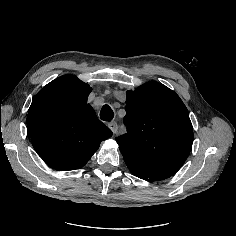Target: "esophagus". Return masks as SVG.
I'll use <instances>...</instances> for the list:
<instances>
[{
    "mask_svg": "<svg viewBox=\"0 0 236 236\" xmlns=\"http://www.w3.org/2000/svg\"><path fill=\"white\" fill-rule=\"evenodd\" d=\"M108 127L112 130V132L114 134L117 133L118 126H117V123L115 121L110 122L108 124Z\"/></svg>",
    "mask_w": 236,
    "mask_h": 236,
    "instance_id": "obj_1",
    "label": "esophagus"
}]
</instances>
